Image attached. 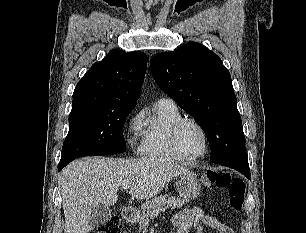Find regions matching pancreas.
<instances>
[{"instance_id":"pancreas-1","label":"pancreas","mask_w":306,"mask_h":233,"mask_svg":"<svg viewBox=\"0 0 306 233\" xmlns=\"http://www.w3.org/2000/svg\"><path fill=\"white\" fill-rule=\"evenodd\" d=\"M186 201L181 198H176L170 195H161L147 201L142 205L141 209L143 215L139 220V228L146 229L149 225L150 219L156 217L165 207L176 209L181 208Z\"/></svg>"}]
</instances>
